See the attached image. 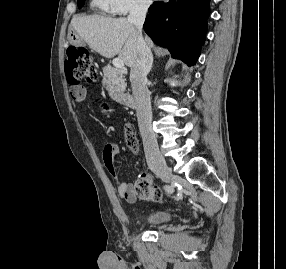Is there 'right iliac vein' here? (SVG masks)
<instances>
[{
    "label": "right iliac vein",
    "instance_id": "obj_1",
    "mask_svg": "<svg viewBox=\"0 0 286 269\" xmlns=\"http://www.w3.org/2000/svg\"><path fill=\"white\" fill-rule=\"evenodd\" d=\"M153 171L166 183H170L174 179V175L171 169L167 166L165 162L160 164L158 167H155Z\"/></svg>",
    "mask_w": 286,
    "mask_h": 269
}]
</instances>
